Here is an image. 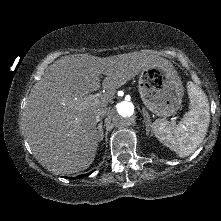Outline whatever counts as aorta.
Masks as SVG:
<instances>
[{
	"instance_id": "aorta-1",
	"label": "aorta",
	"mask_w": 221,
	"mask_h": 221,
	"mask_svg": "<svg viewBox=\"0 0 221 221\" xmlns=\"http://www.w3.org/2000/svg\"><path fill=\"white\" fill-rule=\"evenodd\" d=\"M136 117V110L132 102L120 101L115 104L112 111V120L119 129L130 127Z\"/></svg>"
}]
</instances>
